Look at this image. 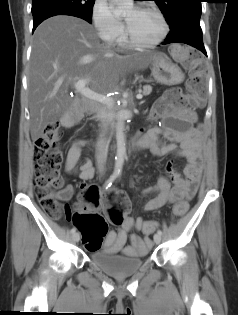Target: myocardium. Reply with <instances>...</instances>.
Instances as JSON below:
<instances>
[{
    "label": "myocardium",
    "mask_w": 238,
    "mask_h": 315,
    "mask_svg": "<svg viewBox=\"0 0 238 315\" xmlns=\"http://www.w3.org/2000/svg\"><path fill=\"white\" fill-rule=\"evenodd\" d=\"M138 9L147 10V11H150L153 14H155L161 22L162 32H161L160 36L157 39H155L154 41L139 42L132 37L130 30H129V27H128L127 23L125 22L124 38H125L126 43L129 46H131L133 48H137V49H148V48H152V47L159 45L160 43H162L165 40V38L167 37V35L169 33V25H168V22L164 16V14L158 8L153 7V6H142V7H139Z\"/></svg>",
    "instance_id": "myocardium-1"
}]
</instances>
